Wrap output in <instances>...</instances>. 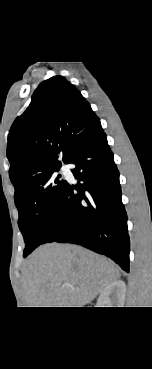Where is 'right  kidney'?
I'll return each instance as SVG.
<instances>
[{
  "label": "right kidney",
  "instance_id": "right-kidney-1",
  "mask_svg": "<svg viewBox=\"0 0 152 369\" xmlns=\"http://www.w3.org/2000/svg\"><path fill=\"white\" fill-rule=\"evenodd\" d=\"M126 295V284L116 280L107 285L98 298L97 305L105 307H123Z\"/></svg>",
  "mask_w": 152,
  "mask_h": 369
}]
</instances>
